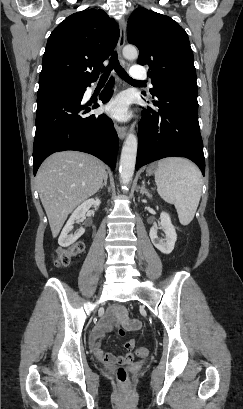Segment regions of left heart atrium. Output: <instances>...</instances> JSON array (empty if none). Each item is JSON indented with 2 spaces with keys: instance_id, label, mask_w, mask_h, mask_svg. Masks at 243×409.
<instances>
[{
  "instance_id": "left-heart-atrium-1",
  "label": "left heart atrium",
  "mask_w": 243,
  "mask_h": 409,
  "mask_svg": "<svg viewBox=\"0 0 243 409\" xmlns=\"http://www.w3.org/2000/svg\"><path fill=\"white\" fill-rule=\"evenodd\" d=\"M128 105L129 102L127 98L123 94H120L115 97L105 109L111 117L118 120H123L128 117Z\"/></svg>"
}]
</instances>
